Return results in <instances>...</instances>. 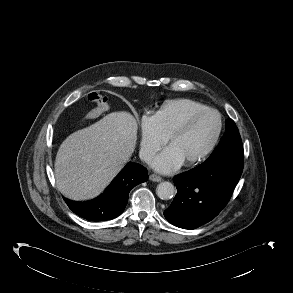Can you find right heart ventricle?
I'll return each mask as SVG.
<instances>
[{"label":"right heart ventricle","mask_w":293,"mask_h":293,"mask_svg":"<svg viewBox=\"0 0 293 293\" xmlns=\"http://www.w3.org/2000/svg\"><path fill=\"white\" fill-rule=\"evenodd\" d=\"M207 108V106L200 102L186 98H178L164 102L153 113V117L158 130L167 139L170 133L187 117Z\"/></svg>","instance_id":"right-heart-ventricle-1"}]
</instances>
